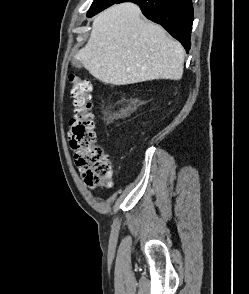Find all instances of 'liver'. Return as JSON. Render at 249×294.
<instances>
[{
	"label": "liver",
	"mask_w": 249,
	"mask_h": 294,
	"mask_svg": "<svg viewBox=\"0 0 249 294\" xmlns=\"http://www.w3.org/2000/svg\"><path fill=\"white\" fill-rule=\"evenodd\" d=\"M184 57L182 45L161 26L144 20L133 3L98 14L87 44L75 56L95 78L114 85L179 80Z\"/></svg>",
	"instance_id": "6515ba94"
}]
</instances>
